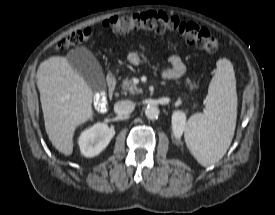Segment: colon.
<instances>
[{"mask_svg": "<svg viewBox=\"0 0 275 215\" xmlns=\"http://www.w3.org/2000/svg\"><path fill=\"white\" fill-rule=\"evenodd\" d=\"M101 27L114 33L126 34L139 30H151L157 33H174L184 41L196 45L205 52L214 53L219 48L218 40L204 27L164 12L149 11L135 14L114 16L104 21ZM96 32L94 28H85L72 32L62 38L55 51L62 52L67 48L89 41Z\"/></svg>", "mask_w": 275, "mask_h": 215, "instance_id": "1", "label": "colon"}]
</instances>
